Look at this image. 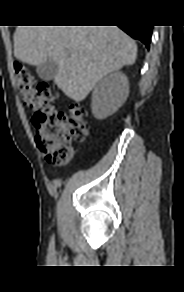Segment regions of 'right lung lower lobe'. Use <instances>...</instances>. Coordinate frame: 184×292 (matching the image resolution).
I'll return each instance as SVG.
<instances>
[{
  "label": "right lung lower lobe",
  "mask_w": 184,
  "mask_h": 292,
  "mask_svg": "<svg viewBox=\"0 0 184 292\" xmlns=\"http://www.w3.org/2000/svg\"><path fill=\"white\" fill-rule=\"evenodd\" d=\"M132 38L140 40L147 48L150 46L152 26L148 25H123L119 26Z\"/></svg>",
  "instance_id": "obj_1"
}]
</instances>
